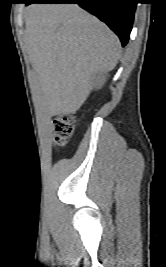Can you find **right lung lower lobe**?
Segmentation results:
<instances>
[{"label": "right lung lower lobe", "instance_id": "98d812e1", "mask_svg": "<svg viewBox=\"0 0 166 267\" xmlns=\"http://www.w3.org/2000/svg\"><path fill=\"white\" fill-rule=\"evenodd\" d=\"M24 3H77L105 22L125 46L130 37L137 0H25Z\"/></svg>", "mask_w": 166, "mask_h": 267}]
</instances>
